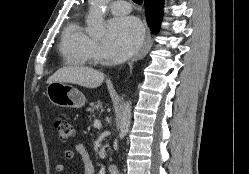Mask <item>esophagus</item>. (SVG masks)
<instances>
[{"label":"esophagus","instance_id":"34e87169","mask_svg":"<svg viewBox=\"0 0 249 174\" xmlns=\"http://www.w3.org/2000/svg\"><path fill=\"white\" fill-rule=\"evenodd\" d=\"M150 46H151V31H150L149 28H147V33H146V37H145L142 49L129 62L130 70L133 68V64L136 61H138V60L142 59L143 57H145V55L148 53V51L150 49Z\"/></svg>","mask_w":249,"mask_h":174}]
</instances>
